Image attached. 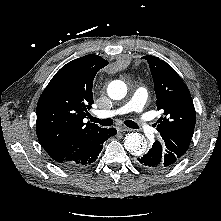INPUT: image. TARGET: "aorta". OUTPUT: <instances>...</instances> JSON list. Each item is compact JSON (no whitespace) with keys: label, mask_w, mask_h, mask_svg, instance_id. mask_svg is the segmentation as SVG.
I'll list each match as a JSON object with an SVG mask.
<instances>
[{"label":"aorta","mask_w":221,"mask_h":221,"mask_svg":"<svg viewBox=\"0 0 221 221\" xmlns=\"http://www.w3.org/2000/svg\"><path fill=\"white\" fill-rule=\"evenodd\" d=\"M107 93L111 99L121 100L127 94V86L121 80H114L109 83ZM124 147L132 155L140 156L146 151L147 145L144 137L140 133L132 132L126 135Z\"/></svg>","instance_id":"obj_1"}]
</instances>
